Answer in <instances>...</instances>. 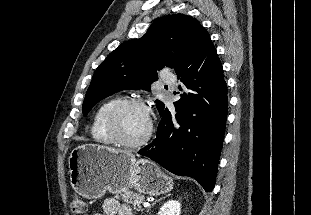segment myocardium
<instances>
[{
	"label": "myocardium",
	"mask_w": 311,
	"mask_h": 215,
	"mask_svg": "<svg viewBox=\"0 0 311 215\" xmlns=\"http://www.w3.org/2000/svg\"><path fill=\"white\" fill-rule=\"evenodd\" d=\"M138 106L145 109L149 116V123L148 129L145 136L135 142L127 141L121 133L120 129V120L122 113L129 107ZM106 128L113 138L114 142L122 147L136 149L140 148L145 145L151 138L153 133V124L151 120V111L149 106L146 102L140 98H129V99H122L117 104H115L111 110L109 111L107 118H106Z\"/></svg>",
	"instance_id": "myocardium-1"
}]
</instances>
